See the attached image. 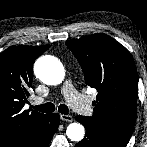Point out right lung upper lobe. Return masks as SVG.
<instances>
[{"mask_svg": "<svg viewBox=\"0 0 147 147\" xmlns=\"http://www.w3.org/2000/svg\"><path fill=\"white\" fill-rule=\"evenodd\" d=\"M49 49L44 46H12L0 54V147L13 141L38 124L48 114L31 109L27 103L32 85V66L37 57Z\"/></svg>", "mask_w": 147, "mask_h": 147, "instance_id": "right-lung-upper-lobe-1", "label": "right lung upper lobe"}]
</instances>
